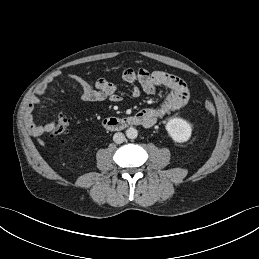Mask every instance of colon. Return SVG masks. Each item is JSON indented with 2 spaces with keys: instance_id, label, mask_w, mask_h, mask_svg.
Listing matches in <instances>:
<instances>
[{
  "instance_id": "colon-1",
  "label": "colon",
  "mask_w": 259,
  "mask_h": 259,
  "mask_svg": "<svg viewBox=\"0 0 259 259\" xmlns=\"http://www.w3.org/2000/svg\"><path fill=\"white\" fill-rule=\"evenodd\" d=\"M204 107H205V110L210 115H215L216 108L212 102H210V101L205 102ZM70 125H71L70 117L66 114L60 115V117L52 131V135L58 136V135L65 134L69 130Z\"/></svg>"
}]
</instances>
